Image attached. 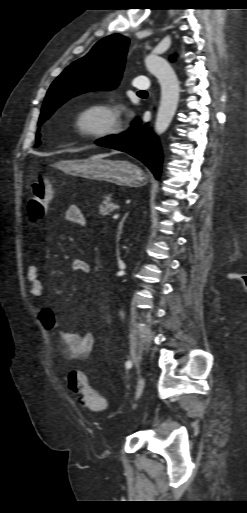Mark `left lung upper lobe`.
<instances>
[{"mask_svg":"<svg viewBox=\"0 0 247 513\" xmlns=\"http://www.w3.org/2000/svg\"><path fill=\"white\" fill-rule=\"evenodd\" d=\"M128 45L129 39L123 35L107 36L97 42L86 56L68 66L51 84L38 125L73 96L88 91L114 89L122 76ZM38 144L39 140L36 146Z\"/></svg>","mask_w":247,"mask_h":513,"instance_id":"5c2ea615","label":"left lung upper lobe"}]
</instances>
